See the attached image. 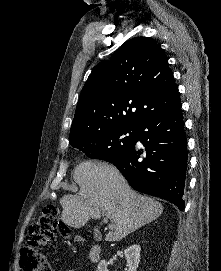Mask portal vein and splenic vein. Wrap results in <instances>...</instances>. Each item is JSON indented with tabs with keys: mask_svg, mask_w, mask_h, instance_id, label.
Wrapping results in <instances>:
<instances>
[{
	"mask_svg": "<svg viewBox=\"0 0 221 271\" xmlns=\"http://www.w3.org/2000/svg\"><path fill=\"white\" fill-rule=\"evenodd\" d=\"M103 221L104 223H108V215H105V217H103Z\"/></svg>",
	"mask_w": 221,
	"mask_h": 271,
	"instance_id": "obj_1",
	"label": "portal vein and splenic vein"
}]
</instances>
